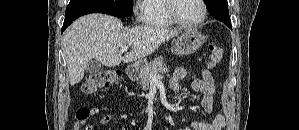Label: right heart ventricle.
<instances>
[{"label": "right heart ventricle", "instance_id": "e07e8e85", "mask_svg": "<svg viewBox=\"0 0 299 130\" xmlns=\"http://www.w3.org/2000/svg\"><path fill=\"white\" fill-rule=\"evenodd\" d=\"M168 0H146L143 6L142 18L151 27H172L175 22L170 18L167 9Z\"/></svg>", "mask_w": 299, "mask_h": 130}]
</instances>
